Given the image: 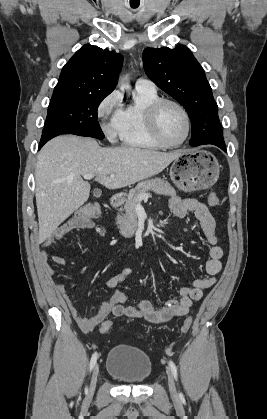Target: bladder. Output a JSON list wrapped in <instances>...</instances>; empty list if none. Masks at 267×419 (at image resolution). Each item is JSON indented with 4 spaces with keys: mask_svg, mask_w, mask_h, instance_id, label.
Masks as SVG:
<instances>
[{
    "mask_svg": "<svg viewBox=\"0 0 267 419\" xmlns=\"http://www.w3.org/2000/svg\"><path fill=\"white\" fill-rule=\"evenodd\" d=\"M106 371L122 383L139 385L145 383L151 376L152 361L138 348L116 345L108 354Z\"/></svg>",
    "mask_w": 267,
    "mask_h": 419,
    "instance_id": "bladder-1",
    "label": "bladder"
}]
</instances>
